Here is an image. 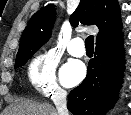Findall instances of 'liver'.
<instances>
[{
	"mask_svg": "<svg viewBox=\"0 0 131 115\" xmlns=\"http://www.w3.org/2000/svg\"><path fill=\"white\" fill-rule=\"evenodd\" d=\"M3 115H58L50 104H39L30 100H16L3 112Z\"/></svg>",
	"mask_w": 131,
	"mask_h": 115,
	"instance_id": "6515ba94",
	"label": "liver"
}]
</instances>
